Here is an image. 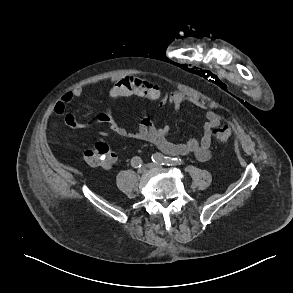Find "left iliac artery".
I'll return each mask as SVG.
<instances>
[{"instance_id": "1", "label": "left iliac artery", "mask_w": 293, "mask_h": 293, "mask_svg": "<svg viewBox=\"0 0 293 293\" xmlns=\"http://www.w3.org/2000/svg\"><path fill=\"white\" fill-rule=\"evenodd\" d=\"M152 161L154 163H157L160 165H167V166L183 164V160H181L180 158H170V157L163 156L160 153L153 154Z\"/></svg>"}]
</instances>
